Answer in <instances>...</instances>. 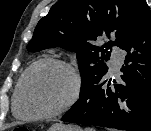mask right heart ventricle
<instances>
[{
	"instance_id": "e07e8e85",
	"label": "right heart ventricle",
	"mask_w": 151,
	"mask_h": 131,
	"mask_svg": "<svg viewBox=\"0 0 151 131\" xmlns=\"http://www.w3.org/2000/svg\"><path fill=\"white\" fill-rule=\"evenodd\" d=\"M20 80H21V78H20ZM20 80L18 81V84H17V86L15 88V91H14V94H13V98H12V112H13L14 116H17V113L15 111L14 102H15V97H16V93H17V90H18V86H19Z\"/></svg>"
}]
</instances>
